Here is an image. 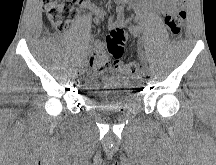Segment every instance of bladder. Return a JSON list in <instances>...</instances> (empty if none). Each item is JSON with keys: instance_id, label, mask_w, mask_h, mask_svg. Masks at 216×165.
Wrapping results in <instances>:
<instances>
[{"instance_id": "1", "label": "bladder", "mask_w": 216, "mask_h": 165, "mask_svg": "<svg viewBox=\"0 0 216 165\" xmlns=\"http://www.w3.org/2000/svg\"><path fill=\"white\" fill-rule=\"evenodd\" d=\"M83 94L90 97L93 111H121L135 105L137 94L134 92V81L118 71L109 76L88 74Z\"/></svg>"}]
</instances>
